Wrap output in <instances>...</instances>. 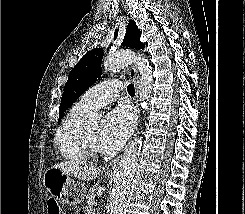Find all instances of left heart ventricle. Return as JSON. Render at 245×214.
Instances as JSON below:
<instances>
[{
	"label": "left heart ventricle",
	"instance_id": "left-heart-ventricle-1",
	"mask_svg": "<svg viewBox=\"0 0 245 214\" xmlns=\"http://www.w3.org/2000/svg\"><path fill=\"white\" fill-rule=\"evenodd\" d=\"M98 124L96 123H87L86 124V132L88 136L89 143L91 146L97 150L101 151V148L97 141V132H98Z\"/></svg>",
	"mask_w": 245,
	"mask_h": 214
}]
</instances>
